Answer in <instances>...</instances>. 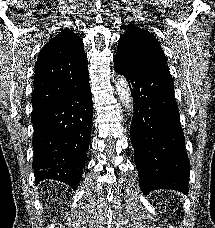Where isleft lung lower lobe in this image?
Here are the masks:
<instances>
[{
  "mask_svg": "<svg viewBox=\"0 0 215 228\" xmlns=\"http://www.w3.org/2000/svg\"><path fill=\"white\" fill-rule=\"evenodd\" d=\"M134 102L130 127L134 160L145 195L157 189L188 193L189 159L168 67L138 68L114 57Z\"/></svg>",
  "mask_w": 215,
  "mask_h": 228,
  "instance_id": "0a47b994",
  "label": "left lung lower lobe"
}]
</instances>
